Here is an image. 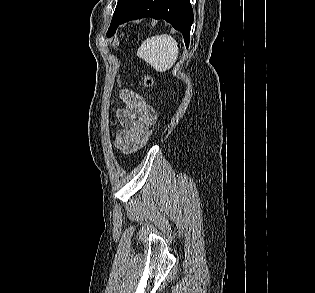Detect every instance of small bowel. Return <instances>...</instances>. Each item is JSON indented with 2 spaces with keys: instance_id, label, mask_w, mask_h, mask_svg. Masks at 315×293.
I'll return each mask as SVG.
<instances>
[{
  "instance_id": "obj_1",
  "label": "small bowel",
  "mask_w": 315,
  "mask_h": 293,
  "mask_svg": "<svg viewBox=\"0 0 315 293\" xmlns=\"http://www.w3.org/2000/svg\"><path fill=\"white\" fill-rule=\"evenodd\" d=\"M121 97L126 108L117 110L121 128L116 133L115 147L130 153L141 146L145 133L156 121V112L134 92L121 93Z\"/></svg>"
}]
</instances>
